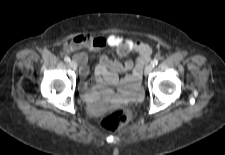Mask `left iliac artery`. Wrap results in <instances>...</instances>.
Instances as JSON below:
<instances>
[{
    "mask_svg": "<svg viewBox=\"0 0 225 155\" xmlns=\"http://www.w3.org/2000/svg\"><path fill=\"white\" fill-rule=\"evenodd\" d=\"M153 66L157 65L158 64V59H154L152 62Z\"/></svg>",
    "mask_w": 225,
    "mask_h": 155,
    "instance_id": "44dca946",
    "label": "left iliac artery"
}]
</instances>
